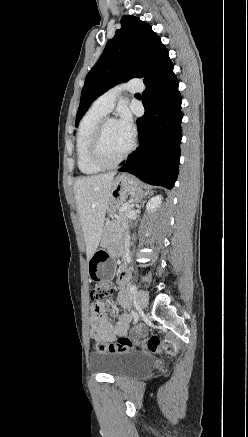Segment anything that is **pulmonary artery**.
<instances>
[{"mask_svg": "<svg viewBox=\"0 0 248 437\" xmlns=\"http://www.w3.org/2000/svg\"><path fill=\"white\" fill-rule=\"evenodd\" d=\"M143 90V83L139 78H132L129 81L116 85L109 89L107 92L99 96L94 102L92 107L104 112L109 113L118 97L123 91L140 92Z\"/></svg>", "mask_w": 248, "mask_h": 437, "instance_id": "pulmonary-artery-1", "label": "pulmonary artery"}]
</instances>
